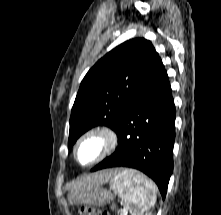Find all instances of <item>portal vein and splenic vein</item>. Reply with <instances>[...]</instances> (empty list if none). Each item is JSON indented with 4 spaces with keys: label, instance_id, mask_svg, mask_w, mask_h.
Masks as SVG:
<instances>
[{
    "label": "portal vein and splenic vein",
    "instance_id": "obj_1",
    "mask_svg": "<svg viewBox=\"0 0 221 215\" xmlns=\"http://www.w3.org/2000/svg\"><path fill=\"white\" fill-rule=\"evenodd\" d=\"M126 211V209L124 208V209H121V212H125Z\"/></svg>",
    "mask_w": 221,
    "mask_h": 215
}]
</instances>
